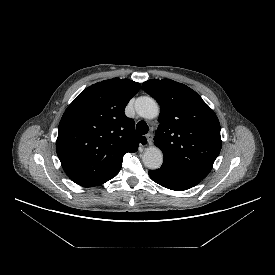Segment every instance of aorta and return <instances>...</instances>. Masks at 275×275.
I'll return each instance as SVG.
<instances>
[{"mask_svg": "<svg viewBox=\"0 0 275 275\" xmlns=\"http://www.w3.org/2000/svg\"><path fill=\"white\" fill-rule=\"evenodd\" d=\"M135 110L143 118L153 119L159 114V107L156 101L147 96H142L135 101ZM144 165L152 170L158 169L163 163V153L155 146L149 147L143 154Z\"/></svg>", "mask_w": 275, "mask_h": 275, "instance_id": "762f6f07", "label": "aorta"}]
</instances>
